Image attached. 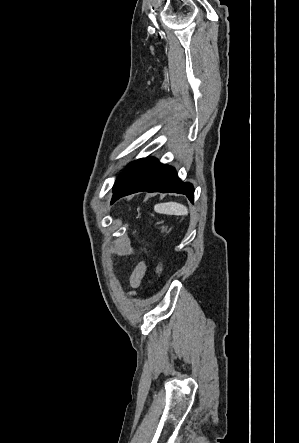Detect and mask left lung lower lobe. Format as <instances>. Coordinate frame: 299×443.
<instances>
[{"label": "left lung lower lobe", "mask_w": 299, "mask_h": 443, "mask_svg": "<svg viewBox=\"0 0 299 443\" xmlns=\"http://www.w3.org/2000/svg\"><path fill=\"white\" fill-rule=\"evenodd\" d=\"M140 191L174 192L186 195L191 202L194 199L193 186L182 182L173 167L153 157L142 159L113 187L111 204L123 196Z\"/></svg>", "instance_id": "left-lung-lower-lobe-1"}]
</instances>
